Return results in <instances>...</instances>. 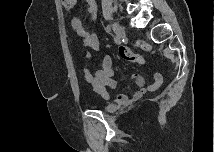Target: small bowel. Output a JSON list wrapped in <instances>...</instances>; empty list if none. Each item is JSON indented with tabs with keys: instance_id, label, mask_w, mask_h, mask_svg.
Returning a JSON list of instances; mask_svg holds the SVG:
<instances>
[{
	"instance_id": "1",
	"label": "small bowel",
	"mask_w": 215,
	"mask_h": 152,
	"mask_svg": "<svg viewBox=\"0 0 215 152\" xmlns=\"http://www.w3.org/2000/svg\"><path fill=\"white\" fill-rule=\"evenodd\" d=\"M88 12L93 18L97 14V5L94 0H87ZM71 26L76 34L79 36L81 45L85 49H92L95 51L100 50V44L95 33L85 30L82 20L78 17H74L71 20ZM87 56H90L87 53ZM114 76L113 60L110 55H106L102 62V68L97 70L94 74H91L87 69L84 70V78L89 83L95 92L104 99L109 98L108 89L115 88L116 82L112 79ZM132 79L137 87V90L129 95L127 93H121L117 96L118 103H127L130 101L141 98L148 90H156L162 83V76L158 73L153 75V81L150 85L146 86L145 80L142 75L134 73Z\"/></svg>"
}]
</instances>
